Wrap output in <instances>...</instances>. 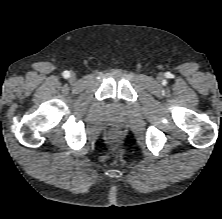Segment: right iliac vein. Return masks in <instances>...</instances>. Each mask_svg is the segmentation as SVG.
Segmentation results:
<instances>
[{"label":"right iliac vein","mask_w":222,"mask_h":219,"mask_svg":"<svg viewBox=\"0 0 222 219\" xmlns=\"http://www.w3.org/2000/svg\"><path fill=\"white\" fill-rule=\"evenodd\" d=\"M77 79V76L75 73H71V75L69 76V80L70 82H75Z\"/></svg>","instance_id":"63e3f726"}]
</instances>
